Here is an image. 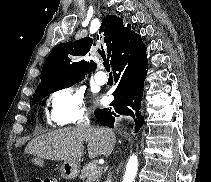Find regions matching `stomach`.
I'll list each match as a JSON object with an SVG mask.
<instances>
[{
    "label": "stomach",
    "instance_id": "1",
    "mask_svg": "<svg viewBox=\"0 0 211 182\" xmlns=\"http://www.w3.org/2000/svg\"><path fill=\"white\" fill-rule=\"evenodd\" d=\"M79 163L77 161L64 162L60 169V175L63 179L73 180L79 173Z\"/></svg>",
    "mask_w": 211,
    "mask_h": 182
}]
</instances>
